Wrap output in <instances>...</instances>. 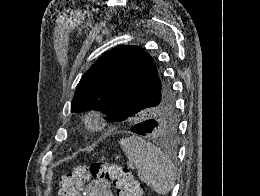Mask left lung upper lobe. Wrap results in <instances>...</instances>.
Wrapping results in <instances>:
<instances>
[{
	"label": "left lung upper lobe",
	"mask_w": 260,
	"mask_h": 196,
	"mask_svg": "<svg viewBox=\"0 0 260 196\" xmlns=\"http://www.w3.org/2000/svg\"><path fill=\"white\" fill-rule=\"evenodd\" d=\"M135 109L126 120L132 127L152 120L150 137L175 145L180 137L179 117L171 86L160 66L139 46H119L102 55L82 76L71 104V112L116 107Z\"/></svg>",
	"instance_id": "5c2ea615"
}]
</instances>
